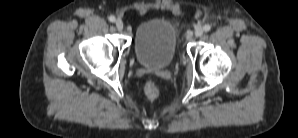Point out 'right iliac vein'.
<instances>
[{"label": "right iliac vein", "instance_id": "obj_1", "mask_svg": "<svg viewBox=\"0 0 298 138\" xmlns=\"http://www.w3.org/2000/svg\"><path fill=\"white\" fill-rule=\"evenodd\" d=\"M115 25H116V28L120 31L124 28V23L121 19H117L115 22Z\"/></svg>", "mask_w": 298, "mask_h": 138}]
</instances>
